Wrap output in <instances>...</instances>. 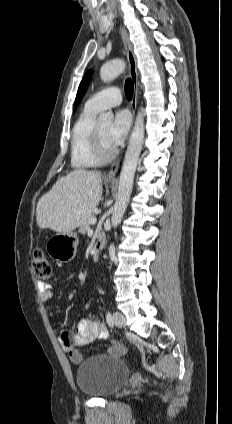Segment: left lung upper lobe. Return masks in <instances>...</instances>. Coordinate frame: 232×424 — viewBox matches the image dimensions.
I'll return each mask as SVG.
<instances>
[{"mask_svg": "<svg viewBox=\"0 0 232 424\" xmlns=\"http://www.w3.org/2000/svg\"><path fill=\"white\" fill-rule=\"evenodd\" d=\"M91 74H92V72H91V70H89L85 74L84 78L82 79V81L79 85L77 96H76V99H75V110L77 108L78 103L80 102V100L82 99V97L84 96V94L86 92V89H87L89 82H90V79H91Z\"/></svg>", "mask_w": 232, "mask_h": 424, "instance_id": "5c2ea615", "label": "left lung upper lobe"}]
</instances>
